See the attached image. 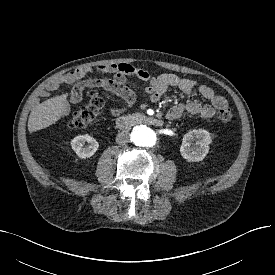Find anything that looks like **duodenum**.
Wrapping results in <instances>:
<instances>
[{
    "label": "duodenum",
    "mask_w": 275,
    "mask_h": 275,
    "mask_svg": "<svg viewBox=\"0 0 275 275\" xmlns=\"http://www.w3.org/2000/svg\"><path fill=\"white\" fill-rule=\"evenodd\" d=\"M142 122L152 126H161L163 121L161 118L156 116H146L141 114H129L121 115L116 119V126L121 130H126L133 124Z\"/></svg>",
    "instance_id": "1"
}]
</instances>
